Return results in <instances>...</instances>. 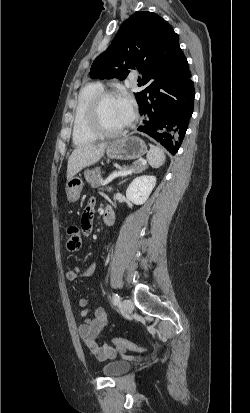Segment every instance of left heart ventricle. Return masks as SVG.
Here are the masks:
<instances>
[{
    "label": "left heart ventricle",
    "mask_w": 250,
    "mask_h": 413,
    "mask_svg": "<svg viewBox=\"0 0 250 413\" xmlns=\"http://www.w3.org/2000/svg\"><path fill=\"white\" fill-rule=\"evenodd\" d=\"M101 119L108 130H117L128 124L117 98H108L101 105Z\"/></svg>",
    "instance_id": "obj_1"
}]
</instances>
